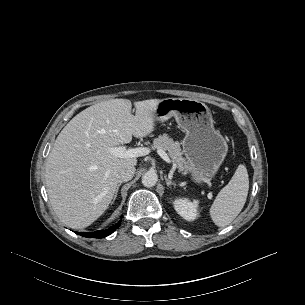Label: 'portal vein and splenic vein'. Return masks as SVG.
<instances>
[{
  "instance_id": "portal-vein-and-splenic-vein-1",
  "label": "portal vein and splenic vein",
  "mask_w": 305,
  "mask_h": 305,
  "mask_svg": "<svg viewBox=\"0 0 305 305\" xmlns=\"http://www.w3.org/2000/svg\"><path fill=\"white\" fill-rule=\"evenodd\" d=\"M110 153L119 158H136L149 154L150 150L146 147H137L127 149L125 146H118L110 148ZM158 154L166 161L170 162L168 155L162 150H158Z\"/></svg>"
}]
</instances>
